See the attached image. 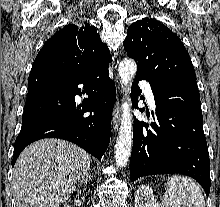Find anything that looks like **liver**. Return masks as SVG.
I'll return each instance as SVG.
<instances>
[{"label": "liver", "instance_id": "1", "mask_svg": "<svg viewBox=\"0 0 220 207\" xmlns=\"http://www.w3.org/2000/svg\"><path fill=\"white\" fill-rule=\"evenodd\" d=\"M90 170L83 149L59 139H43L26 147L13 169L17 207H59L75 183Z\"/></svg>", "mask_w": 220, "mask_h": 207}]
</instances>
